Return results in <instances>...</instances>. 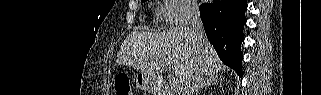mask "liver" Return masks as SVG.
<instances>
[{"mask_svg": "<svg viewBox=\"0 0 321 95\" xmlns=\"http://www.w3.org/2000/svg\"><path fill=\"white\" fill-rule=\"evenodd\" d=\"M165 61L174 65L172 73L180 85L200 64L209 77H217L219 71L226 70L209 41L205 38L199 45L191 28L186 26L161 33L134 31L117 54L118 64L139 69L153 79L165 70Z\"/></svg>", "mask_w": 321, "mask_h": 95, "instance_id": "obj_1", "label": "liver"}]
</instances>
